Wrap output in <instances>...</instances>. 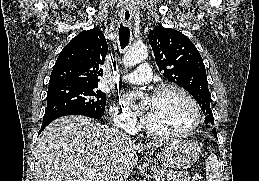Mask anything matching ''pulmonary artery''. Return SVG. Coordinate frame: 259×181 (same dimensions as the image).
I'll use <instances>...</instances> for the list:
<instances>
[{
  "instance_id": "e3ab8cb5",
  "label": "pulmonary artery",
  "mask_w": 259,
  "mask_h": 181,
  "mask_svg": "<svg viewBox=\"0 0 259 181\" xmlns=\"http://www.w3.org/2000/svg\"><path fill=\"white\" fill-rule=\"evenodd\" d=\"M151 68L147 63H142L139 69L133 73L122 76V81L130 84H145L150 81Z\"/></svg>"
}]
</instances>
